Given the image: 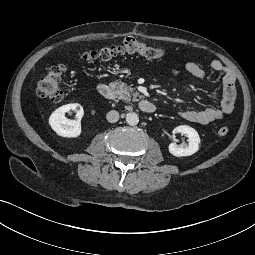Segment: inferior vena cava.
Wrapping results in <instances>:
<instances>
[{
	"mask_svg": "<svg viewBox=\"0 0 255 255\" xmlns=\"http://www.w3.org/2000/svg\"><path fill=\"white\" fill-rule=\"evenodd\" d=\"M106 119L110 123H115L119 120V113L116 110H111L106 114Z\"/></svg>",
	"mask_w": 255,
	"mask_h": 255,
	"instance_id": "602c4592",
	"label": "inferior vena cava"
}]
</instances>
